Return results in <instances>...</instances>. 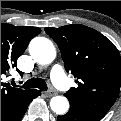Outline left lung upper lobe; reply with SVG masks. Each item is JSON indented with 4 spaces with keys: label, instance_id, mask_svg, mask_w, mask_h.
I'll use <instances>...</instances> for the list:
<instances>
[{
    "label": "left lung upper lobe",
    "instance_id": "5c2ea615",
    "mask_svg": "<svg viewBox=\"0 0 121 121\" xmlns=\"http://www.w3.org/2000/svg\"><path fill=\"white\" fill-rule=\"evenodd\" d=\"M57 43L67 72L77 87L64 95L70 107L103 118L116 101L121 85V57L114 44L83 25L46 28Z\"/></svg>",
    "mask_w": 121,
    "mask_h": 121
}]
</instances>
